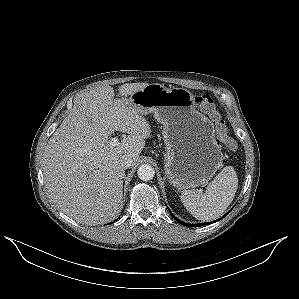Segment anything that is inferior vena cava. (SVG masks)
<instances>
[{
    "label": "inferior vena cava",
    "instance_id": "inferior-vena-cava-1",
    "mask_svg": "<svg viewBox=\"0 0 299 299\" xmlns=\"http://www.w3.org/2000/svg\"><path fill=\"white\" fill-rule=\"evenodd\" d=\"M119 162H120V166H121V168H123V169H128V168L132 165L133 160H132V158L129 157V156H124V157H122V158L120 159Z\"/></svg>",
    "mask_w": 299,
    "mask_h": 299
}]
</instances>
